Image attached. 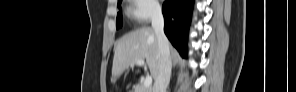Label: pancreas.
<instances>
[{
  "instance_id": "1",
  "label": "pancreas",
  "mask_w": 296,
  "mask_h": 92,
  "mask_svg": "<svg viewBox=\"0 0 296 92\" xmlns=\"http://www.w3.org/2000/svg\"><path fill=\"white\" fill-rule=\"evenodd\" d=\"M135 92H151V88L145 87L143 83H139L135 88Z\"/></svg>"
}]
</instances>
